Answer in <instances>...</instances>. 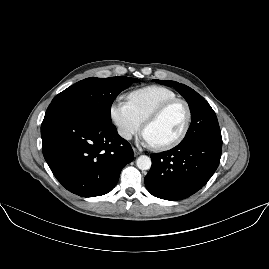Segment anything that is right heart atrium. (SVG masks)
Instances as JSON below:
<instances>
[{
	"label": "right heart atrium",
	"instance_id": "right-heart-atrium-1",
	"mask_svg": "<svg viewBox=\"0 0 269 269\" xmlns=\"http://www.w3.org/2000/svg\"><path fill=\"white\" fill-rule=\"evenodd\" d=\"M110 116L124 139H131L141 133L143 124L135 116L132 108L122 96L116 97L110 108Z\"/></svg>",
	"mask_w": 269,
	"mask_h": 269
}]
</instances>
